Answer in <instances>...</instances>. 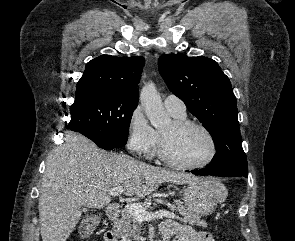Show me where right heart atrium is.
Masks as SVG:
<instances>
[{
	"instance_id": "1",
	"label": "right heart atrium",
	"mask_w": 295,
	"mask_h": 241,
	"mask_svg": "<svg viewBox=\"0 0 295 241\" xmlns=\"http://www.w3.org/2000/svg\"><path fill=\"white\" fill-rule=\"evenodd\" d=\"M157 143V132L152 128L143 110L137 107L128 120V147L135 153L149 155Z\"/></svg>"
}]
</instances>
